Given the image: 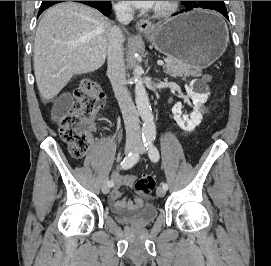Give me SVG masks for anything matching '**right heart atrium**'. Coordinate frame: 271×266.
I'll list each match as a JSON object with an SVG mask.
<instances>
[{
  "mask_svg": "<svg viewBox=\"0 0 271 266\" xmlns=\"http://www.w3.org/2000/svg\"><path fill=\"white\" fill-rule=\"evenodd\" d=\"M116 9L122 14H127L130 10L129 6L127 5V3L125 1H119L116 4Z\"/></svg>",
  "mask_w": 271,
  "mask_h": 266,
  "instance_id": "obj_1",
  "label": "right heart atrium"
}]
</instances>
